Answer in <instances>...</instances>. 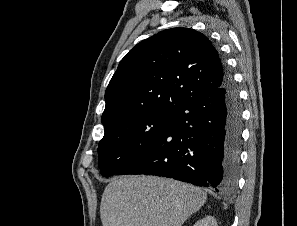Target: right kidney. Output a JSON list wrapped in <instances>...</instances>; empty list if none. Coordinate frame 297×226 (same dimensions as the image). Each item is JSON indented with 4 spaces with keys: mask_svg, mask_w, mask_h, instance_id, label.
Segmentation results:
<instances>
[{
    "mask_svg": "<svg viewBox=\"0 0 297 226\" xmlns=\"http://www.w3.org/2000/svg\"><path fill=\"white\" fill-rule=\"evenodd\" d=\"M194 226H217V222L214 217L206 216L203 219L197 221Z\"/></svg>",
    "mask_w": 297,
    "mask_h": 226,
    "instance_id": "obj_1",
    "label": "right kidney"
}]
</instances>
